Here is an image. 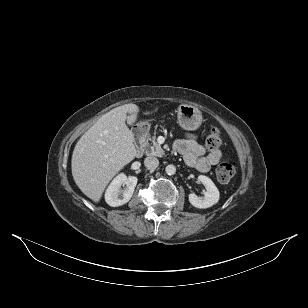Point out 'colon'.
<instances>
[{
  "label": "colon",
  "mask_w": 308,
  "mask_h": 308,
  "mask_svg": "<svg viewBox=\"0 0 308 308\" xmlns=\"http://www.w3.org/2000/svg\"><path fill=\"white\" fill-rule=\"evenodd\" d=\"M222 144V136L218 129H212L206 137L205 146L209 151L218 150ZM235 174V168L230 163H222L216 169L217 179L221 183L229 182Z\"/></svg>",
  "instance_id": "obj_1"
}]
</instances>
